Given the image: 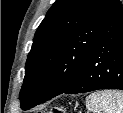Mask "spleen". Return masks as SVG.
I'll use <instances>...</instances> for the list:
<instances>
[{
	"label": "spleen",
	"mask_w": 123,
	"mask_h": 113,
	"mask_svg": "<svg viewBox=\"0 0 123 113\" xmlns=\"http://www.w3.org/2000/svg\"><path fill=\"white\" fill-rule=\"evenodd\" d=\"M86 108L93 113H123V91H97L86 98Z\"/></svg>",
	"instance_id": "obj_1"
}]
</instances>
